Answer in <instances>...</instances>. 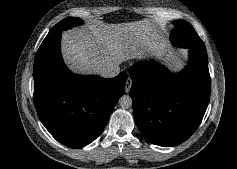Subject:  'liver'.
<instances>
[{
    "label": "liver",
    "mask_w": 237,
    "mask_h": 169,
    "mask_svg": "<svg viewBox=\"0 0 237 169\" xmlns=\"http://www.w3.org/2000/svg\"><path fill=\"white\" fill-rule=\"evenodd\" d=\"M136 40L152 50H161L158 34L151 24L135 23L130 28L120 24L89 26L65 32L62 53L68 67L75 73L100 74L122 59L123 40Z\"/></svg>",
    "instance_id": "liver-1"
}]
</instances>
